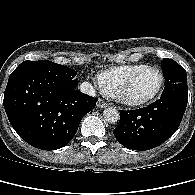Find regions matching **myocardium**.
I'll list each match as a JSON object with an SVG mask.
<instances>
[{
    "label": "myocardium",
    "mask_w": 195,
    "mask_h": 195,
    "mask_svg": "<svg viewBox=\"0 0 195 195\" xmlns=\"http://www.w3.org/2000/svg\"><path fill=\"white\" fill-rule=\"evenodd\" d=\"M145 70H153V71H156L158 73L160 81H159V85H158L157 89L155 90L154 93H152L148 97H145V98H142V99L130 98L128 96V91H129V88H130L132 82L135 80V78L141 72H143ZM164 82H165L164 74L158 67L150 66V65H144L141 68L137 69L135 72H133L127 78V80L122 85L119 94L116 97H114V98H116L119 102H121L122 104H124L126 106H130V107L143 106V105H146V104L152 102L155 98H157L159 96V94L163 90Z\"/></svg>",
    "instance_id": "myocardium-1"
}]
</instances>
